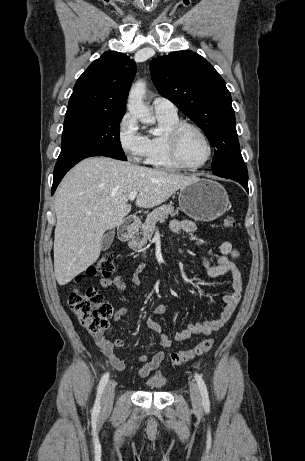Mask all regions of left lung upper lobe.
<instances>
[{"mask_svg": "<svg viewBox=\"0 0 305 461\" xmlns=\"http://www.w3.org/2000/svg\"><path fill=\"white\" fill-rule=\"evenodd\" d=\"M150 72L159 93L197 123L215 147L213 173L248 178L231 95L214 67L195 52L177 51L152 60Z\"/></svg>", "mask_w": 305, "mask_h": 461, "instance_id": "obj_1", "label": "left lung upper lobe"}]
</instances>
